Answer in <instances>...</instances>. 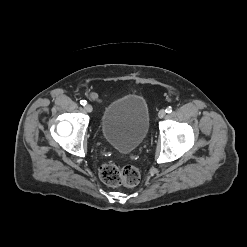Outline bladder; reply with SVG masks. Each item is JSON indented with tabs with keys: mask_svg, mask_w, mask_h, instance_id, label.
<instances>
[{
	"mask_svg": "<svg viewBox=\"0 0 247 247\" xmlns=\"http://www.w3.org/2000/svg\"><path fill=\"white\" fill-rule=\"evenodd\" d=\"M149 120L146 100L137 94H127L105 107L100 121L101 133L116 150L130 153L145 140Z\"/></svg>",
	"mask_w": 247,
	"mask_h": 247,
	"instance_id": "obj_1",
	"label": "bladder"
}]
</instances>
